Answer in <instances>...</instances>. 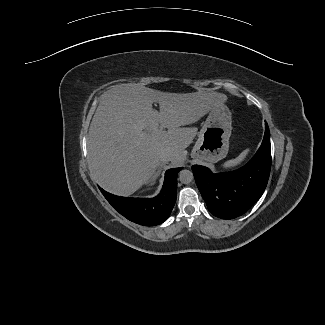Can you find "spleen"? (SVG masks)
<instances>
[{
    "instance_id": "1",
    "label": "spleen",
    "mask_w": 325,
    "mask_h": 325,
    "mask_svg": "<svg viewBox=\"0 0 325 325\" xmlns=\"http://www.w3.org/2000/svg\"><path fill=\"white\" fill-rule=\"evenodd\" d=\"M249 151H250L249 148L245 149V150L242 151L241 154H240L238 157H236L235 159H232V160H229V161L225 162V163L222 165V167H223L224 169H230V168L236 167L237 165L241 164V163L245 160V158H246V156L248 155Z\"/></svg>"
}]
</instances>
